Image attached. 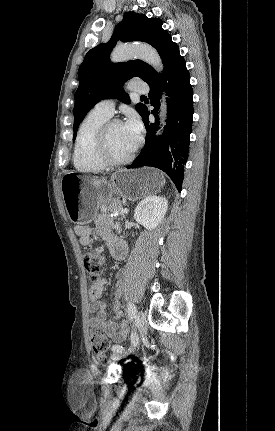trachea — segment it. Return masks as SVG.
Segmentation results:
<instances>
[{"label":"trachea","mask_w":275,"mask_h":431,"mask_svg":"<svg viewBox=\"0 0 275 431\" xmlns=\"http://www.w3.org/2000/svg\"><path fill=\"white\" fill-rule=\"evenodd\" d=\"M141 98H145V96H144V95H142V96H141Z\"/></svg>","instance_id":"3493384b"}]
</instances>
